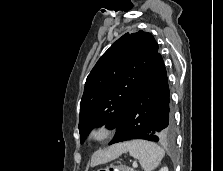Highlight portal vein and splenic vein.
Wrapping results in <instances>:
<instances>
[{
  "instance_id": "obj_1",
  "label": "portal vein and splenic vein",
  "mask_w": 223,
  "mask_h": 171,
  "mask_svg": "<svg viewBox=\"0 0 223 171\" xmlns=\"http://www.w3.org/2000/svg\"><path fill=\"white\" fill-rule=\"evenodd\" d=\"M133 167H138V164H137V162H133Z\"/></svg>"
}]
</instances>
